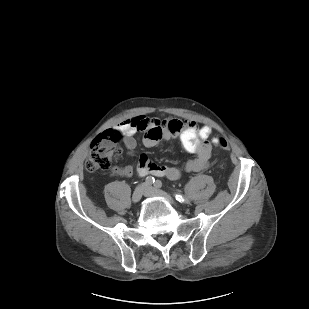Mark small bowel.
Here are the masks:
<instances>
[{"label": "small bowel", "mask_w": 309, "mask_h": 309, "mask_svg": "<svg viewBox=\"0 0 309 309\" xmlns=\"http://www.w3.org/2000/svg\"><path fill=\"white\" fill-rule=\"evenodd\" d=\"M106 133L121 135L130 154L136 147L135 135L137 133H144L143 144L146 147H155L161 140L178 138L183 148L195 155L194 158L186 161L182 168L156 164L146 155H141L136 164V172L141 177L152 175L170 180L178 179L183 171L199 172L206 169L218 140L217 136H212L213 130L209 126H200L194 121H183L177 118L160 120L148 118L145 115L126 119L116 128L107 130ZM209 138H211L210 141ZM133 172V166L119 167L114 170V173L121 177H130Z\"/></svg>", "instance_id": "obj_1"}]
</instances>
